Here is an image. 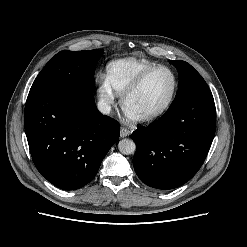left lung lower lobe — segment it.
<instances>
[{"instance_id":"obj_1","label":"left lung lower lobe","mask_w":247,"mask_h":247,"mask_svg":"<svg viewBox=\"0 0 247 247\" xmlns=\"http://www.w3.org/2000/svg\"><path fill=\"white\" fill-rule=\"evenodd\" d=\"M215 129L213 96L192 97L170 106L157 121L133 132L136 174L153 188L180 187L204 163Z\"/></svg>"}]
</instances>
